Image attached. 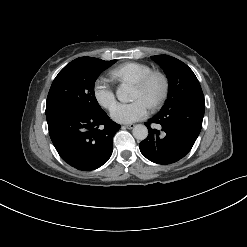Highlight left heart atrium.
Returning a JSON list of instances; mask_svg holds the SVG:
<instances>
[{"mask_svg": "<svg viewBox=\"0 0 247 247\" xmlns=\"http://www.w3.org/2000/svg\"><path fill=\"white\" fill-rule=\"evenodd\" d=\"M149 107L141 98L128 103H117L111 109V117L119 123H132L145 117Z\"/></svg>", "mask_w": 247, "mask_h": 247, "instance_id": "obj_1", "label": "left heart atrium"}]
</instances>
